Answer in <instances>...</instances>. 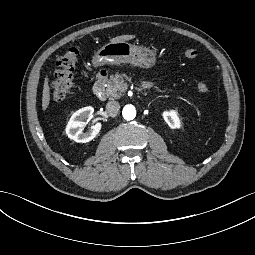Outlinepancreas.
I'll return each instance as SVG.
<instances>
[{
  "label": "pancreas",
  "mask_w": 255,
  "mask_h": 255,
  "mask_svg": "<svg viewBox=\"0 0 255 255\" xmlns=\"http://www.w3.org/2000/svg\"><path fill=\"white\" fill-rule=\"evenodd\" d=\"M124 79H128L126 74L111 75L107 81L106 95L110 98L119 99L127 89Z\"/></svg>",
  "instance_id": "pancreas-1"
}]
</instances>
